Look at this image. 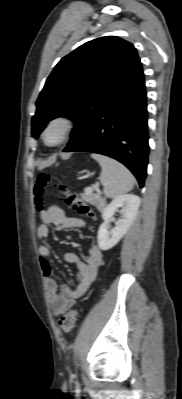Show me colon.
<instances>
[{"label": "colon", "mask_w": 182, "mask_h": 399, "mask_svg": "<svg viewBox=\"0 0 182 399\" xmlns=\"http://www.w3.org/2000/svg\"><path fill=\"white\" fill-rule=\"evenodd\" d=\"M50 186L55 188L64 197L65 203L74 207L79 214L95 218L92 208L80 196L69 191L66 185L55 183L47 173H40L34 186V200L39 209L44 204L46 190ZM77 315V310L72 309L59 318L58 324L63 332L68 333L74 328Z\"/></svg>", "instance_id": "obj_1"}]
</instances>
